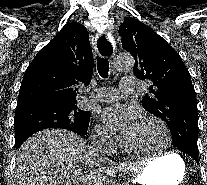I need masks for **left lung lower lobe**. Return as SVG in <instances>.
<instances>
[{"instance_id":"left-lung-lower-lobe-1","label":"left lung lower lobe","mask_w":207,"mask_h":185,"mask_svg":"<svg viewBox=\"0 0 207 185\" xmlns=\"http://www.w3.org/2000/svg\"><path fill=\"white\" fill-rule=\"evenodd\" d=\"M188 155H190L197 164H199V158H198V153H189Z\"/></svg>"}]
</instances>
